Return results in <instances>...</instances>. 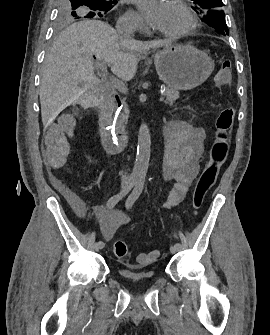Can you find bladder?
Masks as SVG:
<instances>
[{"label": "bladder", "instance_id": "31cf9c89", "mask_svg": "<svg viewBox=\"0 0 270 335\" xmlns=\"http://www.w3.org/2000/svg\"><path fill=\"white\" fill-rule=\"evenodd\" d=\"M123 280L131 284H137L147 280H153L155 274L153 272L136 273L133 271H123Z\"/></svg>", "mask_w": 270, "mask_h": 335}]
</instances>
